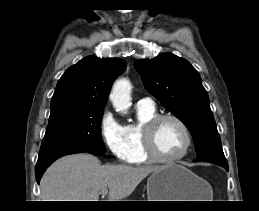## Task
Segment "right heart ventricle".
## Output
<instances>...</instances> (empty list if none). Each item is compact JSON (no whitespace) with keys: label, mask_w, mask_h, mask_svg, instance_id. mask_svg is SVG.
I'll list each match as a JSON object with an SVG mask.
<instances>
[{"label":"right heart ventricle","mask_w":259,"mask_h":211,"mask_svg":"<svg viewBox=\"0 0 259 211\" xmlns=\"http://www.w3.org/2000/svg\"><path fill=\"white\" fill-rule=\"evenodd\" d=\"M137 122L123 127L124 154L123 160L131 164H147L150 159L144 152L142 144V126L157 115L155 107L137 105Z\"/></svg>","instance_id":"obj_1"}]
</instances>
